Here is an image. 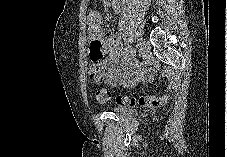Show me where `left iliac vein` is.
Returning a JSON list of instances; mask_svg holds the SVG:
<instances>
[{"label":"left iliac vein","instance_id":"obj_1","mask_svg":"<svg viewBox=\"0 0 227 157\" xmlns=\"http://www.w3.org/2000/svg\"><path fill=\"white\" fill-rule=\"evenodd\" d=\"M138 47H139L140 56L143 58L147 57L149 54V49L142 37H140V41L138 42Z\"/></svg>","mask_w":227,"mask_h":157}]
</instances>
